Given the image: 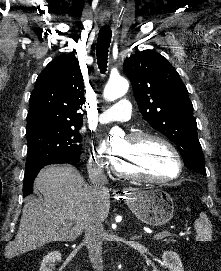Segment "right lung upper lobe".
<instances>
[{
  "instance_id": "cb5924a9",
  "label": "right lung upper lobe",
  "mask_w": 221,
  "mask_h": 271,
  "mask_svg": "<svg viewBox=\"0 0 221 271\" xmlns=\"http://www.w3.org/2000/svg\"><path fill=\"white\" fill-rule=\"evenodd\" d=\"M84 83L74 55L53 59L39 74L30 96L26 131L40 126L78 128Z\"/></svg>"
}]
</instances>
